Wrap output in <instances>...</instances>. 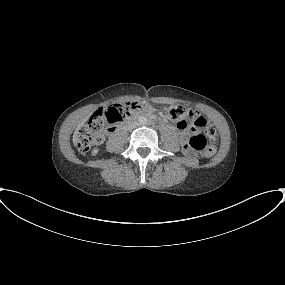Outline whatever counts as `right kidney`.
Wrapping results in <instances>:
<instances>
[{"label":"right kidney","instance_id":"right-kidney-1","mask_svg":"<svg viewBox=\"0 0 285 285\" xmlns=\"http://www.w3.org/2000/svg\"><path fill=\"white\" fill-rule=\"evenodd\" d=\"M98 149L97 148H95L93 151H92V155H96L97 153H98Z\"/></svg>","mask_w":285,"mask_h":285}]
</instances>
